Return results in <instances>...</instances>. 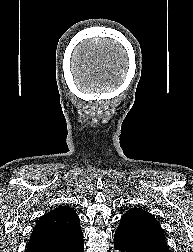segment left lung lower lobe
<instances>
[{
  "label": "left lung lower lobe",
  "instance_id": "0a47b994",
  "mask_svg": "<svg viewBox=\"0 0 193 252\" xmlns=\"http://www.w3.org/2000/svg\"><path fill=\"white\" fill-rule=\"evenodd\" d=\"M114 247L121 252H170L165 238L157 234L136 235L116 230Z\"/></svg>",
  "mask_w": 193,
  "mask_h": 252
}]
</instances>
